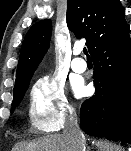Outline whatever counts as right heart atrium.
Returning a JSON list of instances; mask_svg holds the SVG:
<instances>
[{
	"label": "right heart atrium",
	"mask_w": 131,
	"mask_h": 151,
	"mask_svg": "<svg viewBox=\"0 0 131 151\" xmlns=\"http://www.w3.org/2000/svg\"><path fill=\"white\" fill-rule=\"evenodd\" d=\"M30 120L33 128L44 133L59 131L73 116L64 85L54 76L37 79L30 90Z\"/></svg>",
	"instance_id": "1"
}]
</instances>
